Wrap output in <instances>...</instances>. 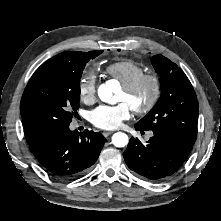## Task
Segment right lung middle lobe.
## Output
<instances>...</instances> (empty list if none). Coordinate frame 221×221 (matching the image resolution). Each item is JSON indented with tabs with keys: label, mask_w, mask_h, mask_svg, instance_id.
<instances>
[{
	"label": "right lung middle lobe",
	"mask_w": 221,
	"mask_h": 221,
	"mask_svg": "<svg viewBox=\"0 0 221 221\" xmlns=\"http://www.w3.org/2000/svg\"><path fill=\"white\" fill-rule=\"evenodd\" d=\"M103 51L77 52L72 64L36 71L23 93L22 117L46 133L70 124L80 107V79L86 63Z\"/></svg>",
	"instance_id": "obj_1"
}]
</instances>
